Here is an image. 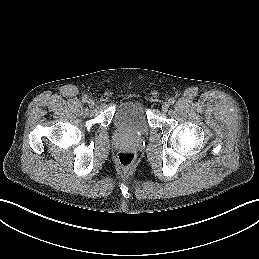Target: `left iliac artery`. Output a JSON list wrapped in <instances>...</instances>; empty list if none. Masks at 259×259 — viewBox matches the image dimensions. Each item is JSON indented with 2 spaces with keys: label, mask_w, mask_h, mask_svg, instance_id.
<instances>
[{
  "label": "left iliac artery",
  "mask_w": 259,
  "mask_h": 259,
  "mask_svg": "<svg viewBox=\"0 0 259 259\" xmlns=\"http://www.w3.org/2000/svg\"><path fill=\"white\" fill-rule=\"evenodd\" d=\"M169 103L170 104H174L175 103V100L173 98L169 99Z\"/></svg>",
  "instance_id": "44dca946"
}]
</instances>
